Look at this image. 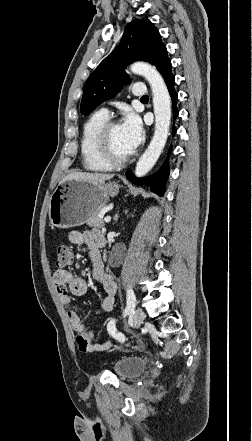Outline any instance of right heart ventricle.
<instances>
[{"mask_svg":"<svg viewBox=\"0 0 252 441\" xmlns=\"http://www.w3.org/2000/svg\"><path fill=\"white\" fill-rule=\"evenodd\" d=\"M108 121V116L100 111L92 114L84 123L80 140L82 166L90 172H107L112 169L96 151V136L100 128Z\"/></svg>","mask_w":252,"mask_h":441,"instance_id":"e07e8e85","label":"right heart ventricle"}]
</instances>
